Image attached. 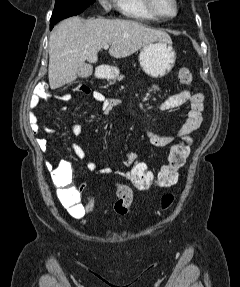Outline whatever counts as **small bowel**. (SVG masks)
Returning a JSON list of instances; mask_svg holds the SVG:
<instances>
[{
  "instance_id": "c3829d8e",
  "label": "small bowel",
  "mask_w": 240,
  "mask_h": 287,
  "mask_svg": "<svg viewBox=\"0 0 240 287\" xmlns=\"http://www.w3.org/2000/svg\"><path fill=\"white\" fill-rule=\"evenodd\" d=\"M155 89H158L155 86ZM78 91L83 92L86 95H91L101 105V111L104 115H108L115 107L121 104V100L117 98H108L99 91H92L88 86L80 85L77 88ZM56 98L63 102H68L72 99V96L68 93L57 95ZM40 98L38 95H33L30 99V108L34 109L39 104ZM188 105L187 118L181 123L176 131V134H159L151 129L147 131V136L151 144L155 147H166L169 145L176 135L178 136H190L195 133L203 122V111L205 108V96L201 93L191 94L187 90L180 91L169 96L160 105V109L163 111H172ZM64 110L65 108H61ZM29 121L31 123V129L34 133L40 130L38 123V117L34 112H29ZM71 130L76 136H80L83 133L82 128L77 123L71 124ZM43 131L47 134H54L56 130L49 126H43ZM38 144L42 150L46 149L47 142L45 139H38ZM70 149L76 157L81 160L87 159V153L77 143H71ZM140 156L132 151L128 150L125 154V158L122 161V165L125 169L114 170L111 167H105L98 169L97 164L94 161H87V168L90 171L96 172L98 175H109L114 173L115 175L125 178L127 177V169L129 166ZM83 186H81V189ZM60 199L64 207L68 210L71 216L76 219H81L85 216V208L81 203V196L78 189L74 192L62 193L60 191Z\"/></svg>"
}]
</instances>
